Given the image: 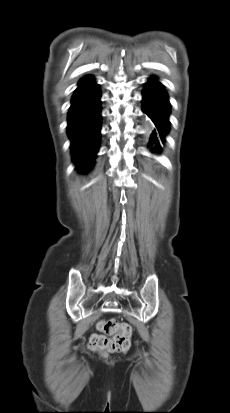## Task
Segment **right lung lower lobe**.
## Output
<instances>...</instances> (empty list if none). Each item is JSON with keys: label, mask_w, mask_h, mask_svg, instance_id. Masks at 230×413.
I'll use <instances>...</instances> for the list:
<instances>
[{"label": "right lung lower lobe", "mask_w": 230, "mask_h": 413, "mask_svg": "<svg viewBox=\"0 0 230 413\" xmlns=\"http://www.w3.org/2000/svg\"><path fill=\"white\" fill-rule=\"evenodd\" d=\"M100 89L92 76H85L71 100L67 133L77 168L88 170L94 162L100 143Z\"/></svg>", "instance_id": "1"}]
</instances>
